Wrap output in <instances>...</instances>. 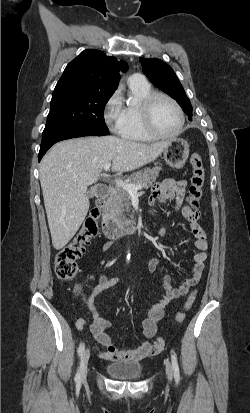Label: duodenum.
<instances>
[{
  "mask_svg": "<svg viewBox=\"0 0 250 413\" xmlns=\"http://www.w3.org/2000/svg\"><path fill=\"white\" fill-rule=\"evenodd\" d=\"M113 188L107 187L106 191L97 199L96 208L102 211L101 230L105 237L113 239L126 234H133L139 230L135 219L115 221L104 211L107 200L112 196Z\"/></svg>",
  "mask_w": 250,
  "mask_h": 413,
  "instance_id": "obj_1",
  "label": "duodenum"
}]
</instances>
